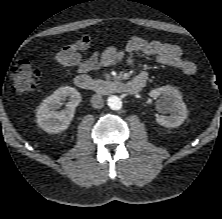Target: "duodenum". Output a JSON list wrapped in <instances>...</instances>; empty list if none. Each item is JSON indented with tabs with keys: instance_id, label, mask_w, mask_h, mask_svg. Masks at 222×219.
<instances>
[{
	"instance_id": "obj_1",
	"label": "duodenum",
	"mask_w": 222,
	"mask_h": 219,
	"mask_svg": "<svg viewBox=\"0 0 222 219\" xmlns=\"http://www.w3.org/2000/svg\"><path fill=\"white\" fill-rule=\"evenodd\" d=\"M74 82L75 85L82 90L99 93L127 92L136 94L143 87V85L136 82H122L117 80L95 81L87 75H78Z\"/></svg>"
}]
</instances>
